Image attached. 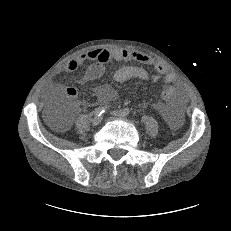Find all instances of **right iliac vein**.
Listing matches in <instances>:
<instances>
[{"label":"right iliac vein","mask_w":231,"mask_h":231,"mask_svg":"<svg viewBox=\"0 0 231 231\" xmlns=\"http://www.w3.org/2000/svg\"><path fill=\"white\" fill-rule=\"evenodd\" d=\"M101 121H102V117L96 116V117L93 118L92 124L97 126V125H99L101 123Z\"/></svg>","instance_id":"63e3f726"}]
</instances>
